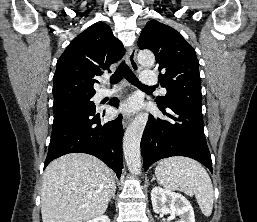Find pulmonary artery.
I'll use <instances>...</instances> for the list:
<instances>
[{"label":"pulmonary artery","mask_w":257,"mask_h":222,"mask_svg":"<svg viewBox=\"0 0 257 222\" xmlns=\"http://www.w3.org/2000/svg\"><path fill=\"white\" fill-rule=\"evenodd\" d=\"M141 81L145 85H153V86L158 85V77L154 72H151V71L142 72L141 73ZM105 83H106V81H105ZM118 91H119L118 87L102 88L96 92L95 97H96V99L100 100L107 96L116 94ZM161 92L166 93L165 88H161Z\"/></svg>","instance_id":"obj_1"}]
</instances>
